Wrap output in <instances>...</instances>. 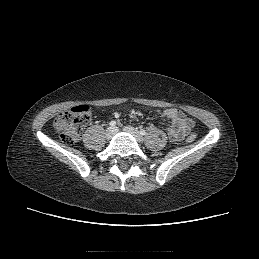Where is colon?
<instances>
[{
	"label": "colon",
	"instance_id": "1",
	"mask_svg": "<svg viewBox=\"0 0 259 259\" xmlns=\"http://www.w3.org/2000/svg\"><path fill=\"white\" fill-rule=\"evenodd\" d=\"M91 117V108L88 105H78L60 113L54 120V128L61 140L66 144H74L79 141L84 125ZM196 135L187 136L188 142H194Z\"/></svg>",
	"mask_w": 259,
	"mask_h": 259
}]
</instances>
